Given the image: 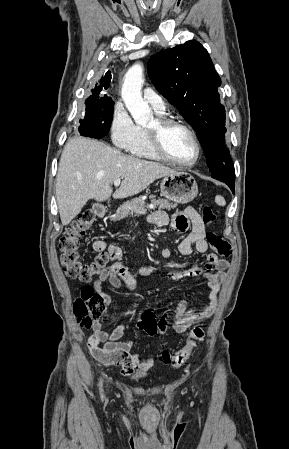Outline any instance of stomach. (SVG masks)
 <instances>
[{
	"label": "stomach",
	"mask_w": 289,
	"mask_h": 449,
	"mask_svg": "<svg viewBox=\"0 0 289 449\" xmlns=\"http://www.w3.org/2000/svg\"><path fill=\"white\" fill-rule=\"evenodd\" d=\"M162 196L179 203L187 204L198 194V185L187 172H175L165 176L160 183Z\"/></svg>",
	"instance_id": "1"
}]
</instances>
